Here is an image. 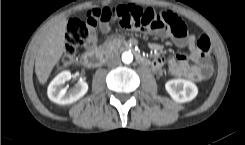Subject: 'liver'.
Instances as JSON below:
<instances>
[{"label": "liver", "instance_id": "obj_1", "mask_svg": "<svg viewBox=\"0 0 245 145\" xmlns=\"http://www.w3.org/2000/svg\"><path fill=\"white\" fill-rule=\"evenodd\" d=\"M66 27V20L53 25L40 43L35 71L41 84L46 83L53 67L58 63L65 50Z\"/></svg>", "mask_w": 245, "mask_h": 145}]
</instances>
